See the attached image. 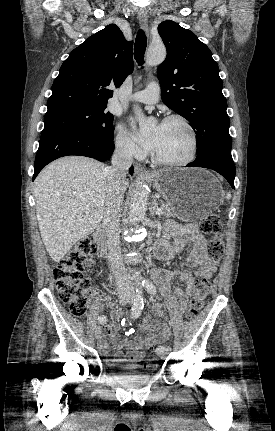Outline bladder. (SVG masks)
Here are the masks:
<instances>
[{
	"label": "bladder",
	"instance_id": "1",
	"mask_svg": "<svg viewBox=\"0 0 275 431\" xmlns=\"http://www.w3.org/2000/svg\"><path fill=\"white\" fill-rule=\"evenodd\" d=\"M107 374L116 382L123 384L130 381H147L152 372L135 363H121L116 360H105Z\"/></svg>",
	"mask_w": 275,
	"mask_h": 431
}]
</instances>
